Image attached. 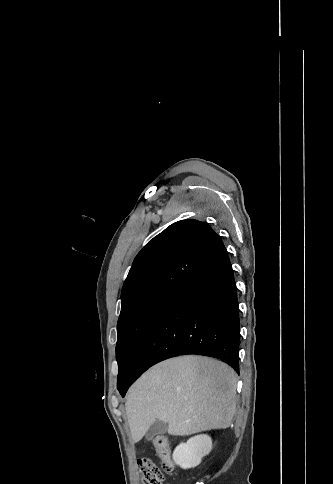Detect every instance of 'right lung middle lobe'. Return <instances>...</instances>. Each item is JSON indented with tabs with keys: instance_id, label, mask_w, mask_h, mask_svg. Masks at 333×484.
<instances>
[{
	"instance_id": "dd1d6c3e",
	"label": "right lung middle lobe",
	"mask_w": 333,
	"mask_h": 484,
	"mask_svg": "<svg viewBox=\"0 0 333 484\" xmlns=\"http://www.w3.org/2000/svg\"><path fill=\"white\" fill-rule=\"evenodd\" d=\"M174 291L159 293L141 302L119 317L116 356L119 367L117 389L122 390L129 379L136 349L157 313Z\"/></svg>"
}]
</instances>
